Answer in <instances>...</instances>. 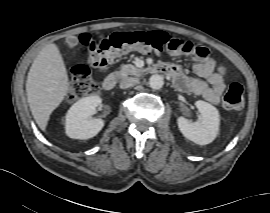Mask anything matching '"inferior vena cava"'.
Returning a JSON list of instances; mask_svg holds the SVG:
<instances>
[{"label":"inferior vena cava","instance_id":"inferior-vena-cava-1","mask_svg":"<svg viewBox=\"0 0 270 213\" xmlns=\"http://www.w3.org/2000/svg\"><path fill=\"white\" fill-rule=\"evenodd\" d=\"M139 83V79L135 77H126L120 81V88L126 89Z\"/></svg>","mask_w":270,"mask_h":213}]
</instances>
